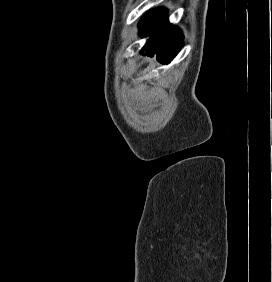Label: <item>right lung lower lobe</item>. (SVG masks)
Returning <instances> with one entry per match:
<instances>
[{
	"instance_id": "1",
	"label": "right lung lower lobe",
	"mask_w": 272,
	"mask_h": 282,
	"mask_svg": "<svg viewBox=\"0 0 272 282\" xmlns=\"http://www.w3.org/2000/svg\"><path fill=\"white\" fill-rule=\"evenodd\" d=\"M139 30L141 36H150L145 45L146 54L152 57L156 53L157 60L162 63H169L183 46V35L168 22L164 8L146 12L140 20Z\"/></svg>"
}]
</instances>
